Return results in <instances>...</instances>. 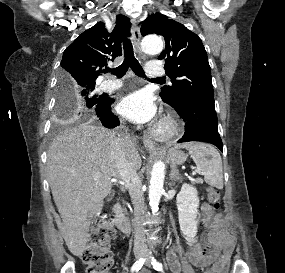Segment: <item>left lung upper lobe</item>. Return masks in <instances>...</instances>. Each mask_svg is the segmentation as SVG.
Returning a JSON list of instances; mask_svg holds the SVG:
<instances>
[{
  "label": "left lung upper lobe",
  "instance_id": "1",
  "mask_svg": "<svg viewBox=\"0 0 285 273\" xmlns=\"http://www.w3.org/2000/svg\"><path fill=\"white\" fill-rule=\"evenodd\" d=\"M141 33L161 35L166 42V50L158 59L165 60L172 85L162 87L163 101L174 104L185 99L214 98L207 53L198 35L160 13L148 17Z\"/></svg>",
  "mask_w": 285,
  "mask_h": 273
}]
</instances>
